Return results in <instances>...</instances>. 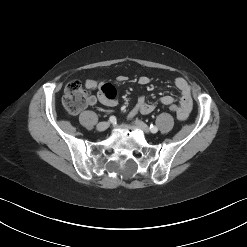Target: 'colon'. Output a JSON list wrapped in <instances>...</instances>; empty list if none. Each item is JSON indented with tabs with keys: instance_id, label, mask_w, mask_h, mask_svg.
<instances>
[{
	"instance_id": "obj_1",
	"label": "colon",
	"mask_w": 247,
	"mask_h": 247,
	"mask_svg": "<svg viewBox=\"0 0 247 247\" xmlns=\"http://www.w3.org/2000/svg\"><path fill=\"white\" fill-rule=\"evenodd\" d=\"M87 93L78 81H72L65 87L63 95V106L71 114H75L83 109L87 104ZM169 110L177 115L179 107L172 103Z\"/></svg>"
}]
</instances>
